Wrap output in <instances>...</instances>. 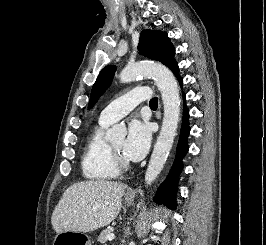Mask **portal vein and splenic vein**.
I'll return each mask as SVG.
<instances>
[{
    "mask_svg": "<svg viewBox=\"0 0 266 245\" xmlns=\"http://www.w3.org/2000/svg\"><path fill=\"white\" fill-rule=\"evenodd\" d=\"M106 239L107 241H113V239H115V235H113V233L112 235H107Z\"/></svg>",
    "mask_w": 266,
    "mask_h": 245,
    "instance_id": "18ae733b",
    "label": "portal vein and splenic vein"
}]
</instances>
